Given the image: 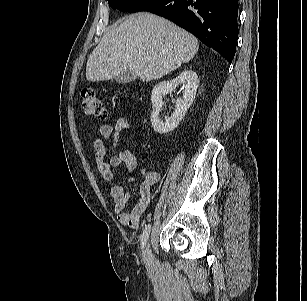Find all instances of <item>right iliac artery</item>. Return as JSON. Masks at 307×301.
<instances>
[{"label": "right iliac artery", "mask_w": 307, "mask_h": 301, "mask_svg": "<svg viewBox=\"0 0 307 301\" xmlns=\"http://www.w3.org/2000/svg\"><path fill=\"white\" fill-rule=\"evenodd\" d=\"M150 231H151V225L148 224L145 226V229L143 230V234H142V239H141V248L143 249L147 240H148V237H149V234H150Z\"/></svg>", "instance_id": "1"}]
</instances>
